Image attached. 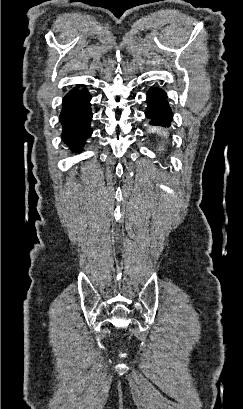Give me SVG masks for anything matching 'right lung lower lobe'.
<instances>
[{
	"label": "right lung lower lobe",
	"instance_id": "right-lung-lower-lobe-1",
	"mask_svg": "<svg viewBox=\"0 0 243 409\" xmlns=\"http://www.w3.org/2000/svg\"><path fill=\"white\" fill-rule=\"evenodd\" d=\"M91 95L86 89H72L63 99L60 122L63 125L62 139L74 151H79L92 134L90 121Z\"/></svg>",
	"mask_w": 243,
	"mask_h": 409
}]
</instances>
